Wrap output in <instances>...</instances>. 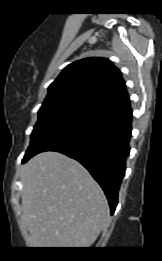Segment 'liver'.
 Returning <instances> with one entry per match:
<instances>
[{
	"mask_svg": "<svg viewBox=\"0 0 162 261\" xmlns=\"http://www.w3.org/2000/svg\"><path fill=\"white\" fill-rule=\"evenodd\" d=\"M21 219L36 248H87L108 224L106 197L89 172L58 152L33 157L22 176Z\"/></svg>",
	"mask_w": 162,
	"mask_h": 261,
	"instance_id": "obj_1",
	"label": "liver"
}]
</instances>
